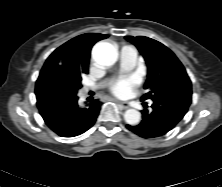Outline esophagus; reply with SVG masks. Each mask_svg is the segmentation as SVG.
<instances>
[{
    "instance_id": "esophagus-1",
    "label": "esophagus",
    "mask_w": 222,
    "mask_h": 187,
    "mask_svg": "<svg viewBox=\"0 0 222 187\" xmlns=\"http://www.w3.org/2000/svg\"><path fill=\"white\" fill-rule=\"evenodd\" d=\"M119 105L122 106L123 109H128L130 107L127 102H119Z\"/></svg>"
}]
</instances>
